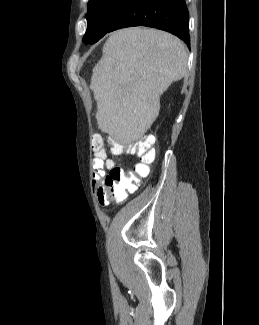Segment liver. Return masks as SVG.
Here are the masks:
<instances>
[{"label": "liver", "mask_w": 259, "mask_h": 325, "mask_svg": "<svg viewBox=\"0 0 259 325\" xmlns=\"http://www.w3.org/2000/svg\"><path fill=\"white\" fill-rule=\"evenodd\" d=\"M93 68L90 89L98 128L122 144L143 138L159 115L160 96L187 72L185 44L147 28L112 33Z\"/></svg>", "instance_id": "1"}]
</instances>
